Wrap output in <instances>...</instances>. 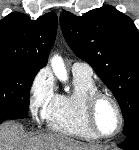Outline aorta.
I'll return each instance as SVG.
<instances>
[{
	"mask_svg": "<svg viewBox=\"0 0 139 150\" xmlns=\"http://www.w3.org/2000/svg\"><path fill=\"white\" fill-rule=\"evenodd\" d=\"M52 69L55 73V75L58 77V79L62 81L67 80V72L64 67L63 60L59 56H54L51 61Z\"/></svg>",
	"mask_w": 139,
	"mask_h": 150,
	"instance_id": "obj_1",
	"label": "aorta"
}]
</instances>
